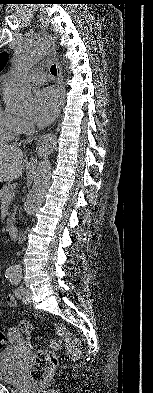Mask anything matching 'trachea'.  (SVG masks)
I'll use <instances>...</instances> for the list:
<instances>
[{
	"mask_svg": "<svg viewBox=\"0 0 153 393\" xmlns=\"http://www.w3.org/2000/svg\"><path fill=\"white\" fill-rule=\"evenodd\" d=\"M50 72L52 73V75H56V76H57V68H56V65H53V66L50 68Z\"/></svg>",
	"mask_w": 153,
	"mask_h": 393,
	"instance_id": "obj_1",
	"label": "trachea"
}]
</instances>
